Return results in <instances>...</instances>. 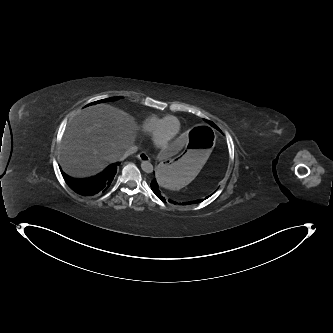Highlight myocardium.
<instances>
[{"instance_id":"obj_1","label":"myocardium","mask_w":333,"mask_h":333,"mask_svg":"<svg viewBox=\"0 0 333 333\" xmlns=\"http://www.w3.org/2000/svg\"><path fill=\"white\" fill-rule=\"evenodd\" d=\"M170 119H177V117L170 115L167 116L160 124L159 128L156 130V132L153 134L152 140L154 142V144L160 148L161 150H166L169 149L170 147H172L174 145V143L177 140L178 134H179V128H177V131L175 133V135L170 138L169 140H163L162 139V132H163V128L166 124V122Z\"/></svg>"}]
</instances>
